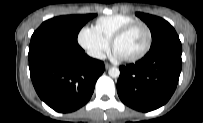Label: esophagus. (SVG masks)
<instances>
[{"mask_svg": "<svg viewBox=\"0 0 203 123\" xmlns=\"http://www.w3.org/2000/svg\"><path fill=\"white\" fill-rule=\"evenodd\" d=\"M105 68H106V69H109V68H111V65L108 64V63H106V64H105Z\"/></svg>", "mask_w": 203, "mask_h": 123, "instance_id": "esophagus-1", "label": "esophagus"}]
</instances>
